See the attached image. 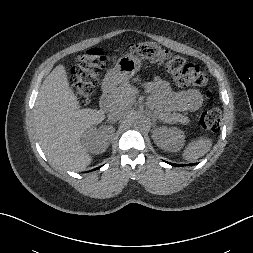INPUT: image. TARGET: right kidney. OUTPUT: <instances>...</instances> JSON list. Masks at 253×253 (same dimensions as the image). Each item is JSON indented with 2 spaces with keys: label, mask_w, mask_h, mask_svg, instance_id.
Segmentation results:
<instances>
[{
  "label": "right kidney",
  "mask_w": 253,
  "mask_h": 253,
  "mask_svg": "<svg viewBox=\"0 0 253 253\" xmlns=\"http://www.w3.org/2000/svg\"><path fill=\"white\" fill-rule=\"evenodd\" d=\"M114 130L110 127L91 128L82 136V142L87 151L100 154L110 145L113 138Z\"/></svg>",
  "instance_id": "ca27d5eb"
}]
</instances>
